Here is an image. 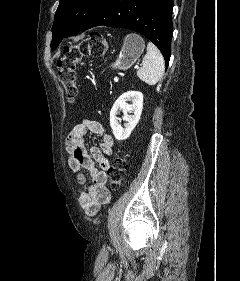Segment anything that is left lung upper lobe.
Returning <instances> with one entry per match:
<instances>
[{
    "instance_id": "1",
    "label": "left lung upper lobe",
    "mask_w": 240,
    "mask_h": 281,
    "mask_svg": "<svg viewBox=\"0 0 240 281\" xmlns=\"http://www.w3.org/2000/svg\"><path fill=\"white\" fill-rule=\"evenodd\" d=\"M105 0H60L52 27L51 49L63 38L77 34L98 11Z\"/></svg>"
}]
</instances>
